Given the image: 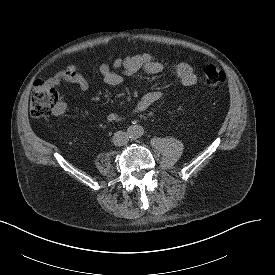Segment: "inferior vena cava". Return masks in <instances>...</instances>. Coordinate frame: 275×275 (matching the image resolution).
I'll return each instance as SVG.
<instances>
[{
	"label": "inferior vena cava",
	"instance_id": "inferior-vena-cava-1",
	"mask_svg": "<svg viewBox=\"0 0 275 275\" xmlns=\"http://www.w3.org/2000/svg\"><path fill=\"white\" fill-rule=\"evenodd\" d=\"M128 140L129 139H128L127 133L123 132V131L115 132L113 139H112L114 145H116V146L125 145L128 143Z\"/></svg>",
	"mask_w": 275,
	"mask_h": 275
}]
</instances>
